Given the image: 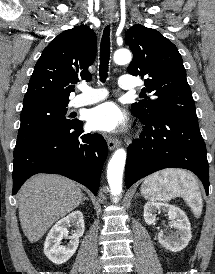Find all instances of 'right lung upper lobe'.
Here are the masks:
<instances>
[{"label":"right lung upper lobe","mask_w":215,"mask_h":274,"mask_svg":"<svg viewBox=\"0 0 215 274\" xmlns=\"http://www.w3.org/2000/svg\"><path fill=\"white\" fill-rule=\"evenodd\" d=\"M96 35L80 25L59 34L42 52L30 78L23 108L41 103H68L79 80H90Z\"/></svg>","instance_id":"cb5924a9"}]
</instances>
